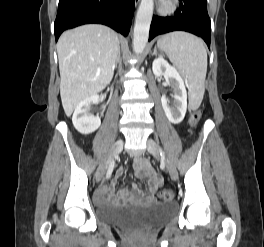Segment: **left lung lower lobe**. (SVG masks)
Returning a JSON list of instances; mask_svg holds the SVG:
<instances>
[{
    "label": "left lung lower lobe",
    "instance_id": "left-lung-lower-lobe-1",
    "mask_svg": "<svg viewBox=\"0 0 264 247\" xmlns=\"http://www.w3.org/2000/svg\"><path fill=\"white\" fill-rule=\"evenodd\" d=\"M181 7L173 16H153L149 41L155 36L172 32L187 31L200 36L210 47L211 22L207 12V0H179Z\"/></svg>",
    "mask_w": 264,
    "mask_h": 247
}]
</instances>
